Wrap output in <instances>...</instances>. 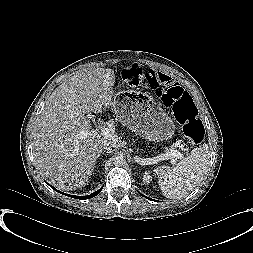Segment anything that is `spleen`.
Returning <instances> with one entry per match:
<instances>
[{
  "instance_id": "1",
  "label": "spleen",
  "mask_w": 253,
  "mask_h": 253,
  "mask_svg": "<svg viewBox=\"0 0 253 253\" xmlns=\"http://www.w3.org/2000/svg\"><path fill=\"white\" fill-rule=\"evenodd\" d=\"M210 161V151L207 145L195 148L187 156L180 158L172 168L160 166L154 174L162 194L168 199H179L193 191L202 181Z\"/></svg>"
}]
</instances>
